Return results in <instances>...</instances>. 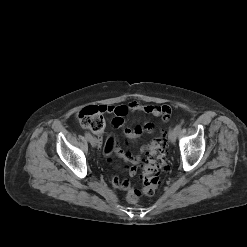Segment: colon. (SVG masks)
Instances as JSON below:
<instances>
[{"instance_id": "5ec220e1", "label": "colon", "mask_w": 247, "mask_h": 247, "mask_svg": "<svg viewBox=\"0 0 247 247\" xmlns=\"http://www.w3.org/2000/svg\"><path fill=\"white\" fill-rule=\"evenodd\" d=\"M104 106H87L77 115V120L84 127L93 132L100 133L105 127ZM166 168L165 143L162 139H154L147 150V160L143 166L141 191L131 189L126 198L131 203H136L142 194L152 195L160 184V173Z\"/></svg>"}]
</instances>
